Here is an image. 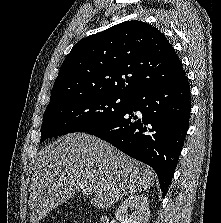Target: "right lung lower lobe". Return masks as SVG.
Wrapping results in <instances>:
<instances>
[{
    "label": "right lung lower lobe",
    "mask_w": 221,
    "mask_h": 223,
    "mask_svg": "<svg viewBox=\"0 0 221 223\" xmlns=\"http://www.w3.org/2000/svg\"><path fill=\"white\" fill-rule=\"evenodd\" d=\"M190 110V85L184 75L172 84L138 93L124 112L86 132L151 166L164 197L184 144Z\"/></svg>",
    "instance_id": "1"
}]
</instances>
